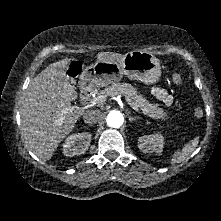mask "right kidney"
I'll return each mask as SVG.
<instances>
[{"label":"right kidney","mask_w":221,"mask_h":221,"mask_svg":"<svg viewBox=\"0 0 221 221\" xmlns=\"http://www.w3.org/2000/svg\"><path fill=\"white\" fill-rule=\"evenodd\" d=\"M91 134L76 133L68 136L63 144V154L67 157L84 154L89 148Z\"/></svg>","instance_id":"1"}]
</instances>
